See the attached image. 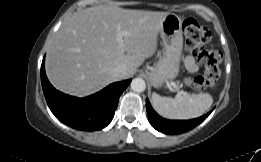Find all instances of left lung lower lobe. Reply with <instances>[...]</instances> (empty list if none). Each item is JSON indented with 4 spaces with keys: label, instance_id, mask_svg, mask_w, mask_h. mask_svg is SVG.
<instances>
[{
    "label": "left lung lower lobe",
    "instance_id": "0a47b994",
    "mask_svg": "<svg viewBox=\"0 0 261 162\" xmlns=\"http://www.w3.org/2000/svg\"><path fill=\"white\" fill-rule=\"evenodd\" d=\"M146 109L150 124L159 132L164 134H181L193 129L195 126L203 122L209 114L192 120H167L159 116L152 108L148 100H146Z\"/></svg>",
    "mask_w": 261,
    "mask_h": 162
}]
</instances>
